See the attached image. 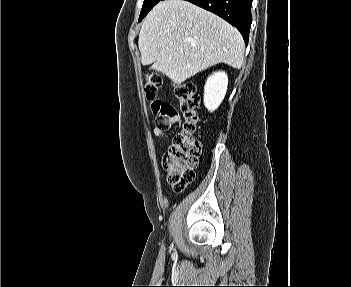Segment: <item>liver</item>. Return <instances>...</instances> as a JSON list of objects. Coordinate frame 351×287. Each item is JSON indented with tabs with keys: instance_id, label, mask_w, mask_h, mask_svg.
Segmentation results:
<instances>
[{
	"instance_id": "obj_1",
	"label": "liver",
	"mask_w": 351,
	"mask_h": 287,
	"mask_svg": "<svg viewBox=\"0 0 351 287\" xmlns=\"http://www.w3.org/2000/svg\"><path fill=\"white\" fill-rule=\"evenodd\" d=\"M141 63L179 84L218 63L239 69L245 45L232 25L190 2L164 0L144 19Z\"/></svg>"
}]
</instances>
